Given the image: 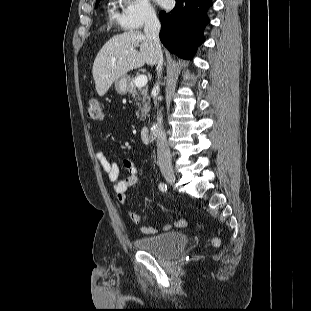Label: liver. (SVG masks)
Here are the masks:
<instances>
[{"mask_svg":"<svg viewBox=\"0 0 311 311\" xmlns=\"http://www.w3.org/2000/svg\"><path fill=\"white\" fill-rule=\"evenodd\" d=\"M136 47H140V50H136ZM145 63L149 66L157 63L155 46L145 34L127 31L112 37L101 48L93 63L92 73L98 95L104 96L113 82Z\"/></svg>","mask_w":311,"mask_h":311,"instance_id":"6515ba94","label":"liver"}]
</instances>
